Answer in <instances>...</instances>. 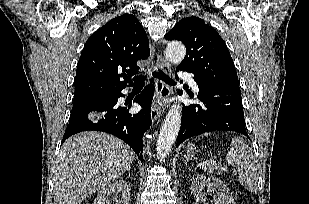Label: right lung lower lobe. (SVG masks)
<instances>
[{"instance_id":"1","label":"right lung lower lobe","mask_w":309,"mask_h":204,"mask_svg":"<svg viewBox=\"0 0 309 204\" xmlns=\"http://www.w3.org/2000/svg\"><path fill=\"white\" fill-rule=\"evenodd\" d=\"M154 85L144 88L134 99L143 108L130 114L126 107H118L117 100L123 97L121 90L111 95L74 104L62 143L71 135L82 131H102L115 135L126 142L142 161L143 134L151 124V101Z\"/></svg>"}]
</instances>
